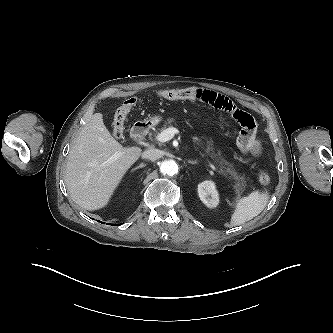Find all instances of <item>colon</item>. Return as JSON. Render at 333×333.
<instances>
[{
  "label": "colon",
  "instance_id": "obj_1",
  "mask_svg": "<svg viewBox=\"0 0 333 333\" xmlns=\"http://www.w3.org/2000/svg\"><path fill=\"white\" fill-rule=\"evenodd\" d=\"M157 96L167 100H192L196 97L195 92L191 88L187 89H161L156 91ZM136 103L135 98L126 100L115 112L113 119V133L117 137H121L124 132L125 120ZM258 180L261 184L270 183L271 177L268 172L260 171Z\"/></svg>",
  "mask_w": 333,
  "mask_h": 333
}]
</instances>
